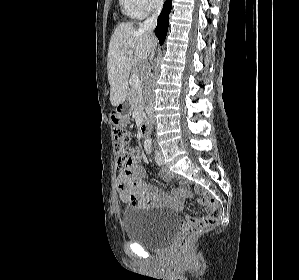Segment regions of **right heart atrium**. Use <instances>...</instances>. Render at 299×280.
<instances>
[{
  "mask_svg": "<svg viewBox=\"0 0 299 280\" xmlns=\"http://www.w3.org/2000/svg\"><path fill=\"white\" fill-rule=\"evenodd\" d=\"M139 9L143 12V14H148L153 10L157 9L162 0H135Z\"/></svg>",
  "mask_w": 299,
  "mask_h": 280,
  "instance_id": "obj_1",
  "label": "right heart atrium"
}]
</instances>
